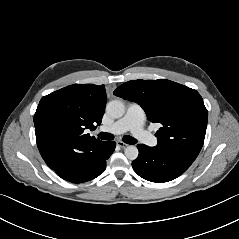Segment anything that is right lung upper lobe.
Instances as JSON below:
<instances>
[{
	"instance_id": "obj_1",
	"label": "right lung upper lobe",
	"mask_w": 239,
	"mask_h": 239,
	"mask_svg": "<svg viewBox=\"0 0 239 239\" xmlns=\"http://www.w3.org/2000/svg\"><path fill=\"white\" fill-rule=\"evenodd\" d=\"M106 99L104 85L73 84L40 100L34 115L36 141L51 169L64 152L84 151L102 142L84 130L100 125Z\"/></svg>"
}]
</instances>
